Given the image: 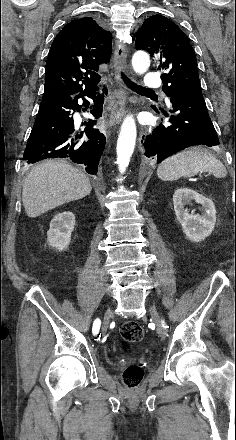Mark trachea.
<instances>
[{"label":"trachea","mask_w":236,"mask_h":440,"mask_svg":"<svg viewBox=\"0 0 236 440\" xmlns=\"http://www.w3.org/2000/svg\"><path fill=\"white\" fill-rule=\"evenodd\" d=\"M120 78L124 82L126 86H128L131 89L137 90V91H148L150 89H146L142 86H139L132 82L123 72H120Z\"/></svg>","instance_id":"obj_1"}]
</instances>
